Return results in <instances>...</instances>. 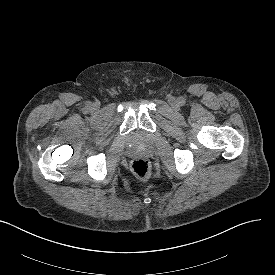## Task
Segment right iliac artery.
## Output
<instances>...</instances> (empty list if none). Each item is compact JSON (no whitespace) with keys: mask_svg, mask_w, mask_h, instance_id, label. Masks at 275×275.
I'll list each match as a JSON object with an SVG mask.
<instances>
[{"mask_svg":"<svg viewBox=\"0 0 275 275\" xmlns=\"http://www.w3.org/2000/svg\"><path fill=\"white\" fill-rule=\"evenodd\" d=\"M85 109H86L87 111H89V110H90V105H87V106L85 107Z\"/></svg>","mask_w":275,"mask_h":275,"instance_id":"right-iliac-artery-1","label":"right iliac artery"}]
</instances>
